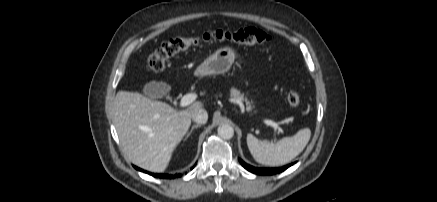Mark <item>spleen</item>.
I'll list each match as a JSON object with an SVG mask.
<instances>
[{
	"instance_id": "3e777b00",
	"label": "spleen",
	"mask_w": 437,
	"mask_h": 202,
	"mask_svg": "<svg viewBox=\"0 0 437 202\" xmlns=\"http://www.w3.org/2000/svg\"><path fill=\"white\" fill-rule=\"evenodd\" d=\"M311 137L309 128L299 130L294 136L284 137L277 143L259 140L247 135V146L253 158L260 164L280 166L289 163L306 147Z\"/></svg>"
}]
</instances>
